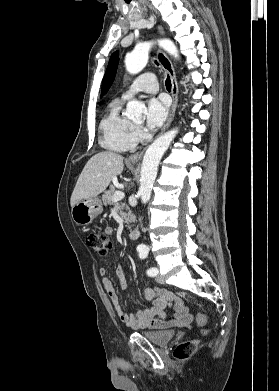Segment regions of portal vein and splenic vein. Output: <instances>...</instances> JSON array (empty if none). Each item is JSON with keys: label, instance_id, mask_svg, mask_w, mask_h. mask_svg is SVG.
<instances>
[{"label": "portal vein and splenic vein", "instance_id": "obj_1", "mask_svg": "<svg viewBox=\"0 0 279 391\" xmlns=\"http://www.w3.org/2000/svg\"><path fill=\"white\" fill-rule=\"evenodd\" d=\"M124 196H125L124 192H122V191H116L115 194H114L113 197H112V201H113L114 203H116V202L122 200V199L124 198Z\"/></svg>", "mask_w": 279, "mask_h": 391}]
</instances>
